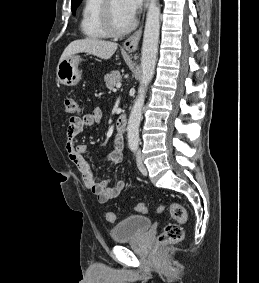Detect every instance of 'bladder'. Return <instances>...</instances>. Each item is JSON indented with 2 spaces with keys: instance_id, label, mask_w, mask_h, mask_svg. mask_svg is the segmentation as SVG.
Segmentation results:
<instances>
[{
  "instance_id": "31cf9c89",
  "label": "bladder",
  "mask_w": 259,
  "mask_h": 283,
  "mask_svg": "<svg viewBox=\"0 0 259 283\" xmlns=\"http://www.w3.org/2000/svg\"><path fill=\"white\" fill-rule=\"evenodd\" d=\"M150 227V218L142 215H130L111 229V238L114 242L134 239L147 232Z\"/></svg>"
}]
</instances>
